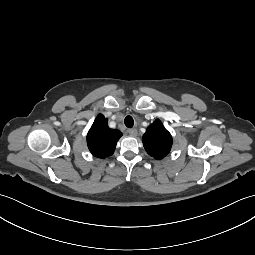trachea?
<instances>
[{
	"label": "trachea",
	"mask_w": 255,
	"mask_h": 255,
	"mask_svg": "<svg viewBox=\"0 0 255 255\" xmlns=\"http://www.w3.org/2000/svg\"><path fill=\"white\" fill-rule=\"evenodd\" d=\"M125 125L128 127V128H132L133 125H134V120L131 116H126L125 118Z\"/></svg>",
	"instance_id": "3493384b"
}]
</instances>
